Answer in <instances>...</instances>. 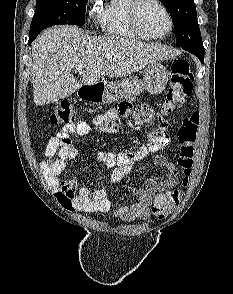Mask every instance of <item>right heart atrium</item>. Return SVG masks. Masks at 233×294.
Here are the masks:
<instances>
[{"label": "right heart atrium", "mask_w": 233, "mask_h": 294, "mask_svg": "<svg viewBox=\"0 0 233 294\" xmlns=\"http://www.w3.org/2000/svg\"><path fill=\"white\" fill-rule=\"evenodd\" d=\"M87 5L90 9H95L98 5V0H87Z\"/></svg>", "instance_id": "obj_1"}]
</instances>
